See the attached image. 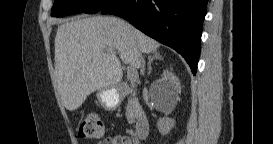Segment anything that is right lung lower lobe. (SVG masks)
<instances>
[{
	"label": "right lung lower lobe",
	"instance_id": "1",
	"mask_svg": "<svg viewBox=\"0 0 273 144\" xmlns=\"http://www.w3.org/2000/svg\"><path fill=\"white\" fill-rule=\"evenodd\" d=\"M208 0H111L100 11L133 26L175 49L196 74Z\"/></svg>",
	"mask_w": 273,
	"mask_h": 144
}]
</instances>
